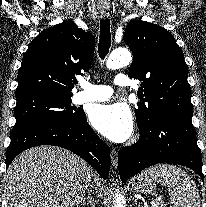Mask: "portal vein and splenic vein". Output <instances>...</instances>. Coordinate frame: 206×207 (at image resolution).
I'll return each mask as SVG.
<instances>
[{
	"mask_svg": "<svg viewBox=\"0 0 206 207\" xmlns=\"http://www.w3.org/2000/svg\"><path fill=\"white\" fill-rule=\"evenodd\" d=\"M159 205H162V202H152L153 207H159Z\"/></svg>",
	"mask_w": 206,
	"mask_h": 207,
	"instance_id": "1",
	"label": "portal vein and splenic vein"
}]
</instances>
